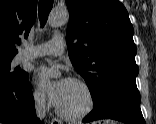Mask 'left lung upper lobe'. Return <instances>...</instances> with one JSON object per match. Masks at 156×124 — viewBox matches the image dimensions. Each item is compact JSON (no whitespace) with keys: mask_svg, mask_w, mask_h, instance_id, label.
<instances>
[{"mask_svg":"<svg viewBox=\"0 0 156 124\" xmlns=\"http://www.w3.org/2000/svg\"><path fill=\"white\" fill-rule=\"evenodd\" d=\"M70 60L86 81L93 104L108 97L140 101L133 26L118 0H65Z\"/></svg>","mask_w":156,"mask_h":124,"instance_id":"1","label":"left lung upper lobe"}]
</instances>
